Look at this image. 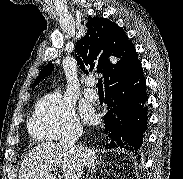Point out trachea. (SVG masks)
<instances>
[{"label": "trachea", "instance_id": "1", "mask_svg": "<svg viewBox=\"0 0 183 179\" xmlns=\"http://www.w3.org/2000/svg\"><path fill=\"white\" fill-rule=\"evenodd\" d=\"M99 91H103V83H102V78L98 80V83L96 85Z\"/></svg>", "mask_w": 183, "mask_h": 179}]
</instances>
